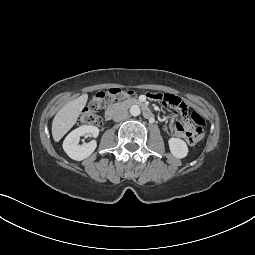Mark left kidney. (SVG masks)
I'll return each mask as SVG.
<instances>
[{"label": "left kidney", "instance_id": "1", "mask_svg": "<svg viewBox=\"0 0 255 255\" xmlns=\"http://www.w3.org/2000/svg\"><path fill=\"white\" fill-rule=\"evenodd\" d=\"M169 148L172 155L178 159H182L187 156L188 154V147L187 144L179 138H170L169 141Z\"/></svg>", "mask_w": 255, "mask_h": 255}]
</instances>
